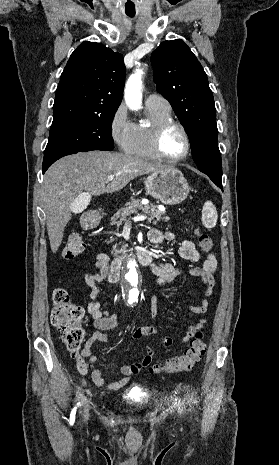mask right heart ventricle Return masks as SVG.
<instances>
[{"label": "right heart ventricle", "mask_w": 279, "mask_h": 465, "mask_svg": "<svg viewBox=\"0 0 279 465\" xmlns=\"http://www.w3.org/2000/svg\"><path fill=\"white\" fill-rule=\"evenodd\" d=\"M146 114L149 123L147 125L134 124L132 140L126 153L136 158L154 160L157 157L151 148L153 128L164 120L172 119L171 110L146 106Z\"/></svg>", "instance_id": "1"}]
</instances>
